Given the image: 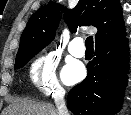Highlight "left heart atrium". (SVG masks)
<instances>
[{"label": "left heart atrium", "instance_id": "39dd6f15", "mask_svg": "<svg viewBox=\"0 0 131 115\" xmlns=\"http://www.w3.org/2000/svg\"><path fill=\"white\" fill-rule=\"evenodd\" d=\"M84 76V69L81 65L73 63L68 65L63 71V79L67 84L80 81Z\"/></svg>", "mask_w": 131, "mask_h": 115}]
</instances>
